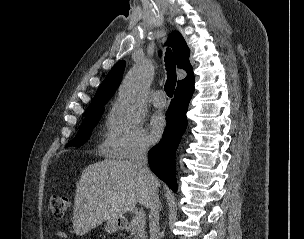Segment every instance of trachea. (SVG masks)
Listing matches in <instances>:
<instances>
[{
  "label": "trachea",
  "instance_id": "trachea-1",
  "mask_svg": "<svg viewBox=\"0 0 304 239\" xmlns=\"http://www.w3.org/2000/svg\"><path fill=\"white\" fill-rule=\"evenodd\" d=\"M165 66L167 70V80L165 83V92L169 97L173 96L176 85V66L170 49H167L165 54Z\"/></svg>",
  "mask_w": 304,
  "mask_h": 239
}]
</instances>
